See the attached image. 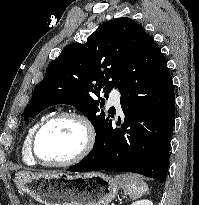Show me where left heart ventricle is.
Instances as JSON below:
<instances>
[{"label":"left heart ventricle","mask_w":199,"mask_h":205,"mask_svg":"<svg viewBox=\"0 0 199 205\" xmlns=\"http://www.w3.org/2000/svg\"><path fill=\"white\" fill-rule=\"evenodd\" d=\"M84 129L70 118L54 121L37 139V153L43 161L60 162L73 157L82 147Z\"/></svg>","instance_id":"1"}]
</instances>
